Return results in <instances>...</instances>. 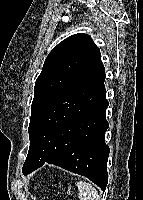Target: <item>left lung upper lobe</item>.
Masks as SVG:
<instances>
[{"instance_id": "obj_1", "label": "left lung upper lobe", "mask_w": 143, "mask_h": 200, "mask_svg": "<svg viewBox=\"0 0 143 200\" xmlns=\"http://www.w3.org/2000/svg\"><path fill=\"white\" fill-rule=\"evenodd\" d=\"M92 38L83 33L74 34L60 42L47 56L42 72L35 82L31 106L29 139L40 111L67 87L87 63L100 52ZM29 152L23 168L30 160Z\"/></svg>"}]
</instances>
